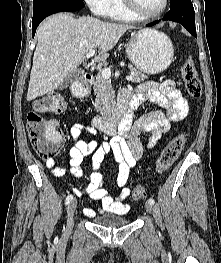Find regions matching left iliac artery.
I'll use <instances>...</instances> for the list:
<instances>
[{
  "label": "left iliac artery",
  "instance_id": "left-iliac-artery-1",
  "mask_svg": "<svg viewBox=\"0 0 221 263\" xmlns=\"http://www.w3.org/2000/svg\"><path fill=\"white\" fill-rule=\"evenodd\" d=\"M148 203H150L151 205H154L155 201H154V199L150 198V199L148 200Z\"/></svg>",
  "mask_w": 221,
  "mask_h": 263
}]
</instances>
